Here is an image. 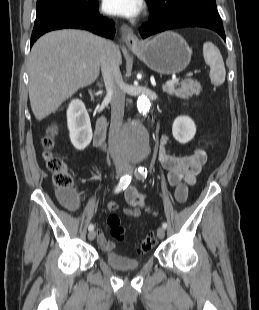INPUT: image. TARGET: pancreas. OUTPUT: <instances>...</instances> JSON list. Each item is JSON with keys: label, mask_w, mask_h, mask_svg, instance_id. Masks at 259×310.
<instances>
[{"label": "pancreas", "mask_w": 259, "mask_h": 310, "mask_svg": "<svg viewBox=\"0 0 259 310\" xmlns=\"http://www.w3.org/2000/svg\"><path fill=\"white\" fill-rule=\"evenodd\" d=\"M163 91L170 95H175L178 98L188 100L193 95H200L202 87L198 81L189 78L172 86L165 85Z\"/></svg>", "instance_id": "obj_1"}]
</instances>
